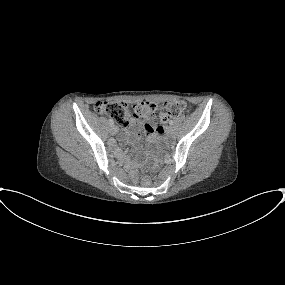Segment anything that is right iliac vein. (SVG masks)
I'll list each match as a JSON object with an SVG mask.
<instances>
[{
	"instance_id": "63e3f726",
	"label": "right iliac vein",
	"mask_w": 285,
	"mask_h": 285,
	"mask_svg": "<svg viewBox=\"0 0 285 285\" xmlns=\"http://www.w3.org/2000/svg\"><path fill=\"white\" fill-rule=\"evenodd\" d=\"M109 132L111 135H115L118 132V128L115 125L109 127Z\"/></svg>"
}]
</instances>
